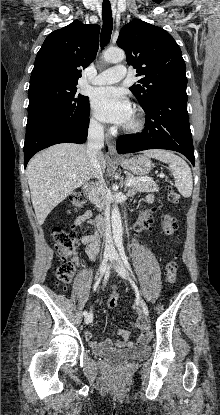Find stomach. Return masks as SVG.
<instances>
[{"label":"stomach","mask_w":220,"mask_h":415,"mask_svg":"<svg viewBox=\"0 0 220 415\" xmlns=\"http://www.w3.org/2000/svg\"><path fill=\"white\" fill-rule=\"evenodd\" d=\"M120 163L123 168L139 176L148 174L153 168L151 160L143 155L123 158Z\"/></svg>","instance_id":"1"}]
</instances>
